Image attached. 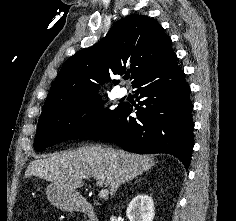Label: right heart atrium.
Wrapping results in <instances>:
<instances>
[{"mask_svg":"<svg viewBox=\"0 0 236 221\" xmlns=\"http://www.w3.org/2000/svg\"><path fill=\"white\" fill-rule=\"evenodd\" d=\"M98 117L97 112L95 110H91L88 112V118L90 120H96Z\"/></svg>","mask_w":236,"mask_h":221,"instance_id":"d8ad5b80","label":"right heart atrium"}]
</instances>
